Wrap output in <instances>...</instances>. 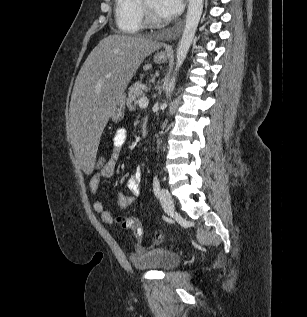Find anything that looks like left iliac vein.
Returning <instances> with one entry per match:
<instances>
[{
    "instance_id": "1",
    "label": "left iliac vein",
    "mask_w": 307,
    "mask_h": 317,
    "mask_svg": "<svg viewBox=\"0 0 307 317\" xmlns=\"http://www.w3.org/2000/svg\"><path fill=\"white\" fill-rule=\"evenodd\" d=\"M159 198H160V203L162 207L167 211V212H173L174 210V201L169 193V191L165 188H162L160 193H159Z\"/></svg>"
}]
</instances>
